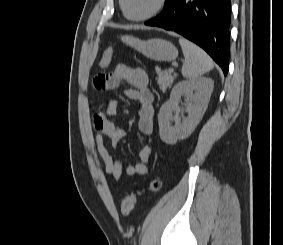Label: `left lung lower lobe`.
Returning <instances> with one entry per match:
<instances>
[{
  "label": "left lung lower lobe",
  "mask_w": 283,
  "mask_h": 245,
  "mask_svg": "<svg viewBox=\"0 0 283 245\" xmlns=\"http://www.w3.org/2000/svg\"><path fill=\"white\" fill-rule=\"evenodd\" d=\"M231 0H173L145 25L175 31L203 48L227 75Z\"/></svg>",
  "instance_id": "left-lung-lower-lobe-1"
}]
</instances>
